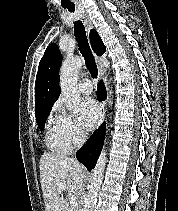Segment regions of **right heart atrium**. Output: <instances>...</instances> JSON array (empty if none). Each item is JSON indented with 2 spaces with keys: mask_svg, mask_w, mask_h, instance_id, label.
I'll list each match as a JSON object with an SVG mask.
<instances>
[{
  "mask_svg": "<svg viewBox=\"0 0 178 211\" xmlns=\"http://www.w3.org/2000/svg\"><path fill=\"white\" fill-rule=\"evenodd\" d=\"M56 119L59 124L61 134L70 147L77 146L84 141L85 133L73 116L58 108Z\"/></svg>",
  "mask_w": 178,
  "mask_h": 211,
  "instance_id": "obj_1",
  "label": "right heart atrium"
}]
</instances>
